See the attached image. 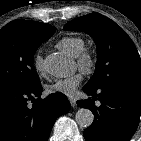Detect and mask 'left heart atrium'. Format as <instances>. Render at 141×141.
Returning <instances> with one entry per match:
<instances>
[{"label": "left heart atrium", "mask_w": 141, "mask_h": 141, "mask_svg": "<svg viewBox=\"0 0 141 141\" xmlns=\"http://www.w3.org/2000/svg\"><path fill=\"white\" fill-rule=\"evenodd\" d=\"M82 81L80 74H74L67 78L59 79L49 87V92L64 95H73Z\"/></svg>", "instance_id": "39dd6f15"}]
</instances>
